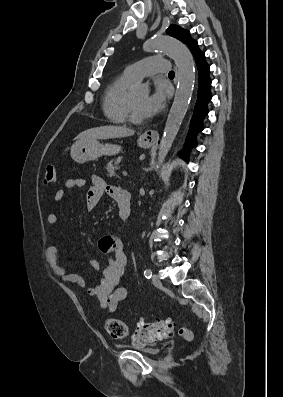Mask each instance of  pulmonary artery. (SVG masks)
<instances>
[{
	"label": "pulmonary artery",
	"instance_id": "obj_1",
	"mask_svg": "<svg viewBox=\"0 0 283 397\" xmlns=\"http://www.w3.org/2000/svg\"><path fill=\"white\" fill-rule=\"evenodd\" d=\"M169 70L168 62L158 56L144 58L126 67L124 74L133 81L156 73H166Z\"/></svg>",
	"mask_w": 283,
	"mask_h": 397
}]
</instances>
